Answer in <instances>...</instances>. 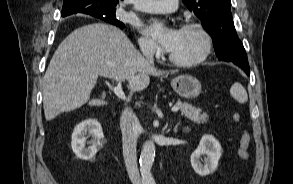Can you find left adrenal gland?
Listing matches in <instances>:
<instances>
[{"label":"left adrenal gland","instance_id":"left-adrenal-gland-1","mask_svg":"<svg viewBox=\"0 0 293 184\" xmlns=\"http://www.w3.org/2000/svg\"><path fill=\"white\" fill-rule=\"evenodd\" d=\"M179 124H180V123H177V124L175 125V127H174V130H175V131H176V129L178 128Z\"/></svg>","mask_w":293,"mask_h":184}]
</instances>
